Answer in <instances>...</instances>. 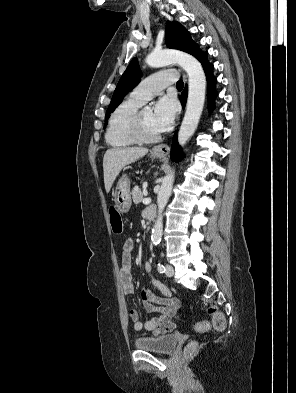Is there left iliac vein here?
<instances>
[{
	"label": "left iliac vein",
	"instance_id": "4c4485c4",
	"mask_svg": "<svg viewBox=\"0 0 296 393\" xmlns=\"http://www.w3.org/2000/svg\"><path fill=\"white\" fill-rule=\"evenodd\" d=\"M165 274H166L168 277H172V276L174 275V268H173L170 264H167V265H166Z\"/></svg>",
	"mask_w": 296,
	"mask_h": 393
}]
</instances>
